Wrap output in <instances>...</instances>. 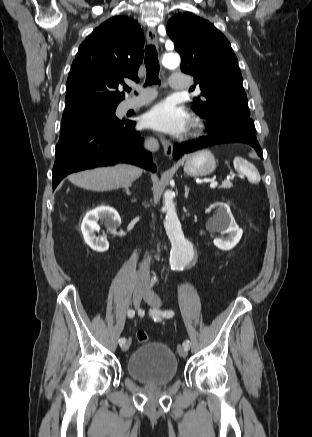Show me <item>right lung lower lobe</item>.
<instances>
[{
  "mask_svg": "<svg viewBox=\"0 0 312 437\" xmlns=\"http://www.w3.org/2000/svg\"><path fill=\"white\" fill-rule=\"evenodd\" d=\"M135 124L133 121H121L59 140L52 171L53 189L70 173L118 162L156 171L151 153L142 148V139L135 132Z\"/></svg>",
  "mask_w": 312,
  "mask_h": 437,
  "instance_id": "1",
  "label": "right lung lower lobe"
}]
</instances>
